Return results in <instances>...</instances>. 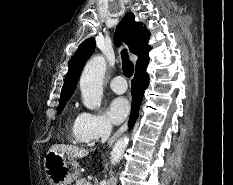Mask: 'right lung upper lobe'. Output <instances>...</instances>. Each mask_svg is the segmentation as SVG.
I'll use <instances>...</instances> for the list:
<instances>
[{"label": "right lung upper lobe", "instance_id": "cb5924a9", "mask_svg": "<svg viewBox=\"0 0 233 185\" xmlns=\"http://www.w3.org/2000/svg\"><path fill=\"white\" fill-rule=\"evenodd\" d=\"M134 18L135 16L132 12L125 15L116 27L114 40L116 41V45H119L120 40H123L128 45L130 51L138 56L136 62V69H138L147 66L149 62L148 53L151 47L148 45V40L150 32L143 23L136 22ZM94 49V38L85 40L77 49L69 64V70L61 91L60 102L68 101L72 96L82 68L86 60L94 52Z\"/></svg>", "mask_w": 233, "mask_h": 185}]
</instances>
